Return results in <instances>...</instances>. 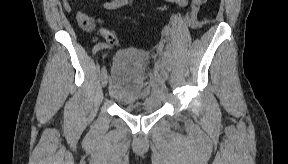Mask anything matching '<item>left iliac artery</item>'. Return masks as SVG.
Masks as SVG:
<instances>
[{"label": "left iliac artery", "instance_id": "1", "mask_svg": "<svg viewBox=\"0 0 288 164\" xmlns=\"http://www.w3.org/2000/svg\"><path fill=\"white\" fill-rule=\"evenodd\" d=\"M162 59H163V61H164V62H166V61L168 60V57H167V55H166V54H164V55H163V57H162Z\"/></svg>", "mask_w": 288, "mask_h": 164}]
</instances>
